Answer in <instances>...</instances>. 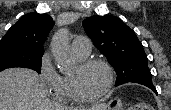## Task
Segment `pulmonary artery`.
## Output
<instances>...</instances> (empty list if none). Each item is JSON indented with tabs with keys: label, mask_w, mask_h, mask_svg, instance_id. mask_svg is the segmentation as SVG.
Masks as SVG:
<instances>
[{
	"label": "pulmonary artery",
	"mask_w": 171,
	"mask_h": 110,
	"mask_svg": "<svg viewBox=\"0 0 171 110\" xmlns=\"http://www.w3.org/2000/svg\"><path fill=\"white\" fill-rule=\"evenodd\" d=\"M92 48L91 41L86 37H75L71 44L72 52L79 56L86 57Z\"/></svg>",
	"instance_id": "obj_1"
}]
</instances>
